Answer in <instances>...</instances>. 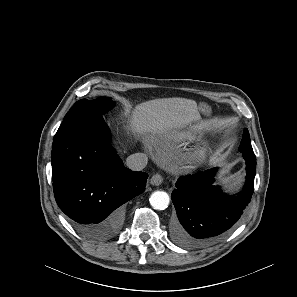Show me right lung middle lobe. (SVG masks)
<instances>
[{
    "label": "right lung middle lobe",
    "mask_w": 297,
    "mask_h": 297,
    "mask_svg": "<svg viewBox=\"0 0 297 297\" xmlns=\"http://www.w3.org/2000/svg\"><path fill=\"white\" fill-rule=\"evenodd\" d=\"M114 105L115 102L107 97L95 100L81 99L66 114L57 133L93 120L103 121L102 115L112 109Z\"/></svg>",
    "instance_id": "obj_1"
}]
</instances>
